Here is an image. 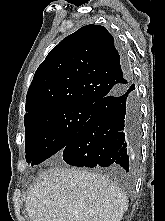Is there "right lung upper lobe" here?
Returning a JSON list of instances; mask_svg holds the SVG:
<instances>
[{
	"instance_id": "right-lung-upper-lobe-1",
	"label": "right lung upper lobe",
	"mask_w": 165,
	"mask_h": 221,
	"mask_svg": "<svg viewBox=\"0 0 165 221\" xmlns=\"http://www.w3.org/2000/svg\"><path fill=\"white\" fill-rule=\"evenodd\" d=\"M131 80L108 30L84 26L53 48L36 70L24 120L58 106L93 105Z\"/></svg>"
}]
</instances>
